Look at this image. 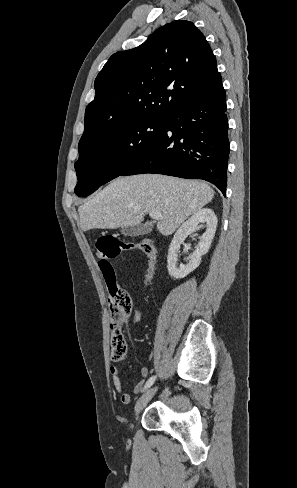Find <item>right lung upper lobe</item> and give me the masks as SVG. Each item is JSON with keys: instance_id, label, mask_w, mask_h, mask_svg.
<instances>
[{"instance_id": "1", "label": "right lung upper lobe", "mask_w": 297, "mask_h": 488, "mask_svg": "<svg viewBox=\"0 0 297 488\" xmlns=\"http://www.w3.org/2000/svg\"><path fill=\"white\" fill-rule=\"evenodd\" d=\"M220 81L204 35L192 22L175 20L140 46L109 58L95 79L80 141L142 119L168 118Z\"/></svg>"}]
</instances>
